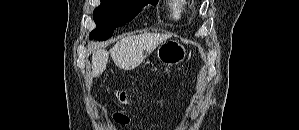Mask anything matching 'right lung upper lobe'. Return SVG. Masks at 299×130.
I'll use <instances>...</instances> for the list:
<instances>
[{
	"instance_id": "cb5924a9",
	"label": "right lung upper lobe",
	"mask_w": 299,
	"mask_h": 130,
	"mask_svg": "<svg viewBox=\"0 0 299 130\" xmlns=\"http://www.w3.org/2000/svg\"><path fill=\"white\" fill-rule=\"evenodd\" d=\"M137 1H144V2H158V0H137Z\"/></svg>"
}]
</instances>
